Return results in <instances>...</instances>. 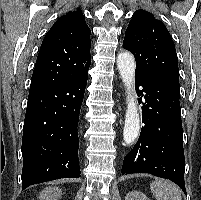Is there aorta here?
Masks as SVG:
<instances>
[{"label":"aorta","mask_w":201,"mask_h":200,"mask_svg":"<svg viewBox=\"0 0 201 200\" xmlns=\"http://www.w3.org/2000/svg\"><path fill=\"white\" fill-rule=\"evenodd\" d=\"M117 67L122 81L127 88V110L123 138L126 144H131L138 137L140 130V118L133 92L135 75V59L133 55L130 52L119 53L117 56Z\"/></svg>","instance_id":"aorta-1"}]
</instances>
